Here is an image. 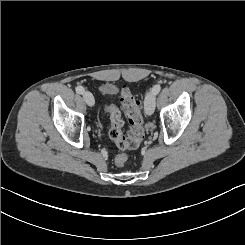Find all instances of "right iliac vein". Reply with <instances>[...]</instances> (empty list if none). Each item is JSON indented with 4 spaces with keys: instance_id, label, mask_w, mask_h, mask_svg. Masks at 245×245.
Here are the masks:
<instances>
[{
    "instance_id": "63e3f726",
    "label": "right iliac vein",
    "mask_w": 245,
    "mask_h": 245,
    "mask_svg": "<svg viewBox=\"0 0 245 245\" xmlns=\"http://www.w3.org/2000/svg\"><path fill=\"white\" fill-rule=\"evenodd\" d=\"M83 98L85 102L87 103L88 106H93L94 105V97L91 92L85 91L83 93Z\"/></svg>"
}]
</instances>
